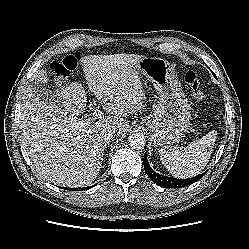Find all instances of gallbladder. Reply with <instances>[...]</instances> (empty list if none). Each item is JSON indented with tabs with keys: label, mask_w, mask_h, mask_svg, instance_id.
<instances>
[{
	"label": "gallbladder",
	"mask_w": 249,
	"mask_h": 249,
	"mask_svg": "<svg viewBox=\"0 0 249 249\" xmlns=\"http://www.w3.org/2000/svg\"><path fill=\"white\" fill-rule=\"evenodd\" d=\"M29 87L31 88L32 93L40 100L49 104H54L58 107L62 106L61 102L55 98L53 92L44 84L34 82L31 83Z\"/></svg>",
	"instance_id": "bac80fb5"
}]
</instances>
